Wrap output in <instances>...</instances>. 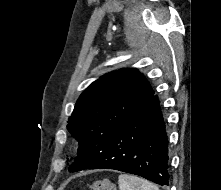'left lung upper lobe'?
<instances>
[{
    "label": "left lung upper lobe",
    "instance_id": "1",
    "mask_svg": "<svg viewBox=\"0 0 221 190\" xmlns=\"http://www.w3.org/2000/svg\"><path fill=\"white\" fill-rule=\"evenodd\" d=\"M154 95L146 78L135 69H121L94 81L78 98L67 129L79 141L70 171L89 168L116 130Z\"/></svg>",
    "mask_w": 221,
    "mask_h": 190
}]
</instances>
